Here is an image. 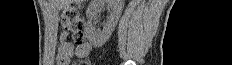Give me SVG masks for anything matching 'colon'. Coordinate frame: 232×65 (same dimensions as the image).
<instances>
[{"label": "colon", "instance_id": "obj_1", "mask_svg": "<svg viewBox=\"0 0 232 65\" xmlns=\"http://www.w3.org/2000/svg\"><path fill=\"white\" fill-rule=\"evenodd\" d=\"M60 23L64 30L71 33L72 39L76 44H80L82 42L83 19L77 9L71 6L66 7L62 12Z\"/></svg>", "mask_w": 232, "mask_h": 65}]
</instances>
